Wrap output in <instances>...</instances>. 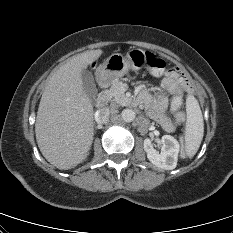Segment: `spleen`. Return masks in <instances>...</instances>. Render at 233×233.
Returning <instances> with one entry per match:
<instances>
[{
  "instance_id": "obj_1",
  "label": "spleen",
  "mask_w": 233,
  "mask_h": 233,
  "mask_svg": "<svg viewBox=\"0 0 233 233\" xmlns=\"http://www.w3.org/2000/svg\"><path fill=\"white\" fill-rule=\"evenodd\" d=\"M186 113L184 151L187 157L192 158L197 153L204 134L202 111L194 96H188L186 100Z\"/></svg>"
}]
</instances>
